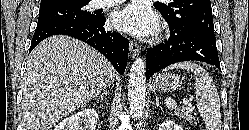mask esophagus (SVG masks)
<instances>
[{"mask_svg":"<svg viewBox=\"0 0 249 130\" xmlns=\"http://www.w3.org/2000/svg\"><path fill=\"white\" fill-rule=\"evenodd\" d=\"M129 48H130V51H131L133 57L137 56L141 51L140 45L134 41L129 42Z\"/></svg>","mask_w":249,"mask_h":130,"instance_id":"34e87169","label":"esophagus"}]
</instances>
